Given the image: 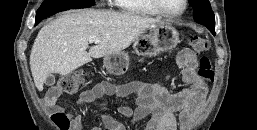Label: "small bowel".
<instances>
[{
	"mask_svg": "<svg viewBox=\"0 0 257 130\" xmlns=\"http://www.w3.org/2000/svg\"><path fill=\"white\" fill-rule=\"evenodd\" d=\"M181 79L186 85L179 92L172 93L160 84L150 85L143 82H132L123 85L103 81L81 93L78 104L95 102L103 96L126 98L133 96L136 108L120 105L119 113L132 123L145 120L143 130H177L178 124L186 126L197 114L206 100V88L203 80L197 75V57L190 50H183L177 56ZM61 94H53L52 88L43 99L44 105L53 111L64 112L57 105ZM178 115V117L176 116ZM87 121L82 116L70 118V130H85ZM127 130L126 126L108 114H101L98 123L90 130Z\"/></svg>",
	"mask_w": 257,
	"mask_h": 130,
	"instance_id": "1",
	"label": "small bowel"
}]
</instances>
